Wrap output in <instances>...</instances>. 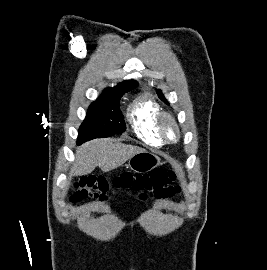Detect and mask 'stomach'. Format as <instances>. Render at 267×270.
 I'll return each instance as SVG.
<instances>
[{
    "instance_id": "0dacf381",
    "label": "stomach",
    "mask_w": 267,
    "mask_h": 270,
    "mask_svg": "<svg viewBox=\"0 0 267 270\" xmlns=\"http://www.w3.org/2000/svg\"><path fill=\"white\" fill-rule=\"evenodd\" d=\"M161 164L160 158L150 152L143 151L129 159L127 167L136 173L148 172Z\"/></svg>"
}]
</instances>
